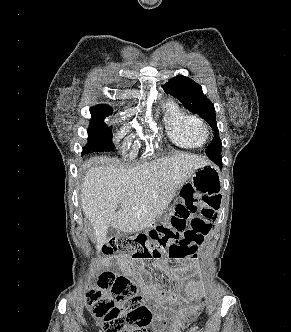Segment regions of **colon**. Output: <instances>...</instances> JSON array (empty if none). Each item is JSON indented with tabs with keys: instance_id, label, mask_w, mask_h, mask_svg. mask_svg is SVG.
I'll return each mask as SVG.
<instances>
[{
	"instance_id": "5ec220e1",
	"label": "colon",
	"mask_w": 291,
	"mask_h": 332,
	"mask_svg": "<svg viewBox=\"0 0 291 332\" xmlns=\"http://www.w3.org/2000/svg\"><path fill=\"white\" fill-rule=\"evenodd\" d=\"M182 198L183 202L164 223L147 233L113 237L104 245V253L123 252L140 261L162 256L172 260L195 258L198 246L217 218L220 199L207 194L198 197L193 189L182 192ZM99 287L88 291L86 303L96 317L103 318L104 332H146L151 311L133 281L107 272L100 277ZM103 290H109L111 295L104 296ZM201 309L202 305L197 303L181 310L167 331L183 332L187 322Z\"/></svg>"
}]
</instances>
